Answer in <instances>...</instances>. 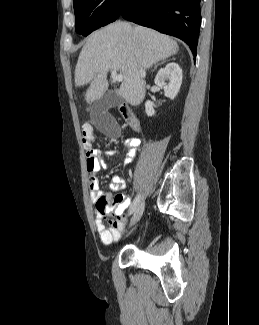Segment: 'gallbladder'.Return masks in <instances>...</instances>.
<instances>
[{"instance_id": "1", "label": "gallbladder", "mask_w": 259, "mask_h": 325, "mask_svg": "<svg viewBox=\"0 0 259 325\" xmlns=\"http://www.w3.org/2000/svg\"><path fill=\"white\" fill-rule=\"evenodd\" d=\"M121 102L122 97L119 93L110 91L96 100L92 106V123L102 131L103 136H108V139H121L119 121H115L108 113V109L118 106Z\"/></svg>"}]
</instances>
